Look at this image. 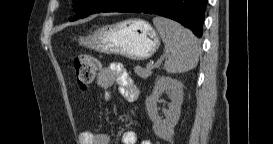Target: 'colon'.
Instances as JSON below:
<instances>
[{"mask_svg":"<svg viewBox=\"0 0 273 144\" xmlns=\"http://www.w3.org/2000/svg\"><path fill=\"white\" fill-rule=\"evenodd\" d=\"M99 62L90 55H79L74 59L75 76L78 86L85 90L89 88L95 80Z\"/></svg>","mask_w":273,"mask_h":144,"instance_id":"1","label":"colon"}]
</instances>
